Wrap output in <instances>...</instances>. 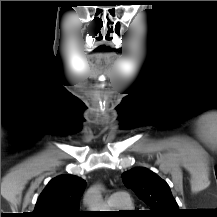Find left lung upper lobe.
Returning a JSON list of instances; mask_svg holds the SVG:
<instances>
[{
	"mask_svg": "<svg viewBox=\"0 0 217 217\" xmlns=\"http://www.w3.org/2000/svg\"><path fill=\"white\" fill-rule=\"evenodd\" d=\"M122 179L151 208V217H178L180 210L170 187L157 174L138 167L125 172Z\"/></svg>",
	"mask_w": 217,
	"mask_h": 217,
	"instance_id": "5c2ea615",
	"label": "left lung upper lobe"
}]
</instances>
